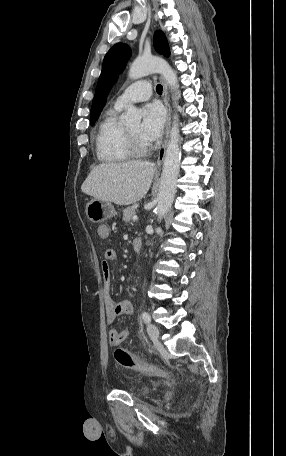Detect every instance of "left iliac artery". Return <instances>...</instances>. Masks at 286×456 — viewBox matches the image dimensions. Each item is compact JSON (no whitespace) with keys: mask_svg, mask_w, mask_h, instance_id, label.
Instances as JSON below:
<instances>
[{"mask_svg":"<svg viewBox=\"0 0 286 456\" xmlns=\"http://www.w3.org/2000/svg\"><path fill=\"white\" fill-rule=\"evenodd\" d=\"M142 319L145 323H149L151 321L150 315L145 311L142 313Z\"/></svg>","mask_w":286,"mask_h":456,"instance_id":"obj_1","label":"left iliac artery"}]
</instances>
